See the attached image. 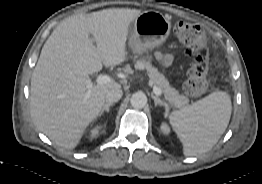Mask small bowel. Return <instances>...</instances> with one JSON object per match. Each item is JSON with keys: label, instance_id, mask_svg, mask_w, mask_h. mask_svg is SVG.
<instances>
[{"label": "small bowel", "instance_id": "small-bowel-1", "mask_svg": "<svg viewBox=\"0 0 262 184\" xmlns=\"http://www.w3.org/2000/svg\"><path fill=\"white\" fill-rule=\"evenodd\" d=\"M157 58L164 64L165 66H169L173 62V57L169 54H164V53H157Z\"/></svg>", "mask_w": 262, "mask_h": 184}]
</instances>
